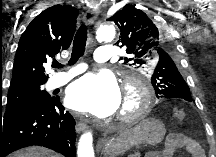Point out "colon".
Masks as SVG:
<instances>
[{"instance_id": "obj_1", "label": "colon", "mask_w": 216, "mask_h": 157, "mask_svg": "<svg viewBox=\"0 0 216 157\" xmlns=\"http://www.w3.org/2000/svg\"><path fill=\"white\" fill-rule=\"evenodd\" d=\"M173 116H174V119L176 121H183L185 119L186 114H185V111L182 108H176L174 110Z\"/></svg>"}]
</instances>
